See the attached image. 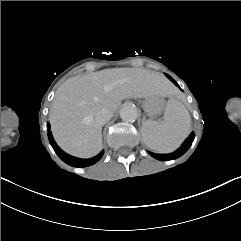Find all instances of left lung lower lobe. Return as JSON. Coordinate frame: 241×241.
I'll return each mask as SVG.
<instances>
[{"mask_svg": "<svg viewBox=\"0 0 241 241\" xmlns=\"http://www.w3.org/2000/svg\"><path fill=\"white\" fill-rule=\"evenodd\" d=\"M167 77L175 84L176 82L169 76L167 75ZM178 86V85H177ZM194 139V136H193V133L190 135V137L187 139V141L185 142V144L182 146V148H180L176 153H173V154H167V155H164V154H155V153H152V152H149V154L158 159V160H161V161H164V160H168V159H175L177 157H180L181 155H183L191 146L192 144V141Z\"/></svg>", "mask_w": 241, "mask_h": 241, "instance_id": "1", "label": "left lung lower lobe"}]
</instances>
